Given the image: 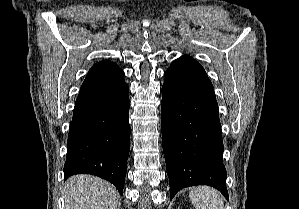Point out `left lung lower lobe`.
Listing matches in <instances>:
<instances>
[{"mask_svg":"<svg viewBox=\"0 0 299 209\" xmlns=\"http://www.w3.org/2000/svg\"><path fill=\"white\" fill-rule=\"evenodd\" d=\"M162 87L161 129L171 199L205 184L227 199L218 103L203 67L191 57L172 62Z\"/></svg>","mask_w":299,"mask_h":209,"instance_id":"left-lung-lower-lobe-1","label":"left lung lower lobe"}]
</instances>
